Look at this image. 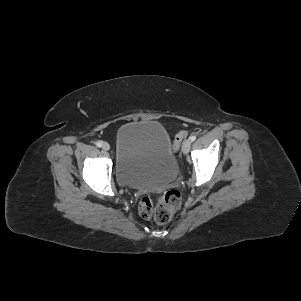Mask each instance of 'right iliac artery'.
I'll list each match as a JSON object with an SVG mask.
<instances>
[{
    "label": "right iliac artery",
    "mask_w": 301,
    "mask_h": 301,
    "mask_svg": "<svg viewBox=\"0 0 301 301\" xmlns=\"http://www.w3.org/2000/svg\"><path fill=\"white\" fill-rule=\"evenodd\" d=\"M96 145H97V147H102V142L98 141V142L96 143Z\"/></svg>",
    "instance_id": "82829eb1"
}]
</instances>
